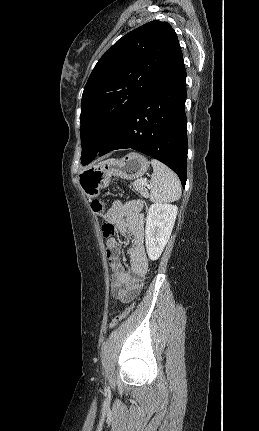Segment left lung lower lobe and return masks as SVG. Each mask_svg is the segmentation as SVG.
Returning a JSON list of instances; mask_svg holds the SVG:
<instances>
[{"label": "left lung lower lobe", "instance_id": "0a47b994", "mask_svg": "<svg viewBox=\"0 0 259 431\" xmlns=\"http://www.w3.org/2000/svg\"><path fill=\"white\" fill-rule=\"evenodd\" d=\"M186 70L180 51L151 90L134 106L97 156L132 148L187 177Z\"/></svg>", "mask_w": 259, "mask_h": 431}]
</instances>
